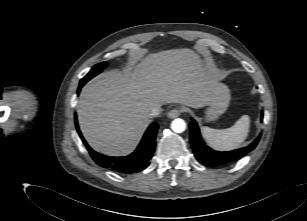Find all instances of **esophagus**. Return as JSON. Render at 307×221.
Returning a JSON list of instances; mask_svg holds the SVG:
<instances>
[{
    "label": "esophagus",
    "mask_w": 307,
    "mask_h": 221,
    "mask_svg": "<svg viewBox=\"0 0 307 221\" xmlns=\"http://www.w3.org/2000/svg\"><path fill=\"white\" fill-rule=\"evenodd\" d=\"M181 110L179 109H172L167 113V116L171 119L176 118L180 115Z\"/></svg>",
    "instance_id": "esophagus-1"
}]
</instances>
